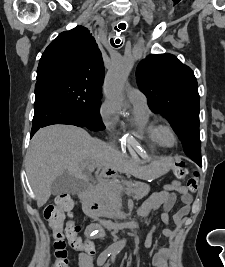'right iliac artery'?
<instances>
[{"instance_id":"82829eb1","label":"right iliac artery","mask_w":225,"mask_h":267,"mask_svg":"<svg viewBox=\"0 0 225 267\" xmlns=\"http://www.w3.org/2000/svg\"><path fill=\"white\" fill-rule=\"evenodd\" d=\"M98 232V230L94 231V234H96ZM113 249L111 248H107L106 250H104L98 257L97 259V264L99 266L103 265L106 261V259L113 253Z\"/></svg>"}]
</instances>
